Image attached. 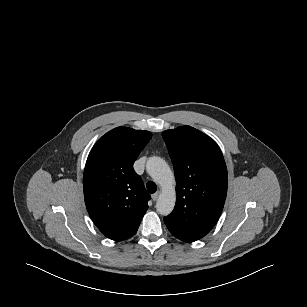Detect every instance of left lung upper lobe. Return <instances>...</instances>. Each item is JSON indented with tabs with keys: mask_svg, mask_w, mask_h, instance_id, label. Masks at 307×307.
<instances>
[{
	"mask_svg": "<svg viewBox=\"0 0 307 307\" xmlns=\"http://www.w3.org/2000/svg\"><path fill=\"white\" fill-rule=\"evenodd\" d=\"M176 178V205L164 217L181 232L200 239L216 224L227 194V168L214 140L190 126L166 130Z\"/></svg>",
	"mask_w": 307,
	"mask_h": 307,
	"instance_id": "obj_1",
	"label": "left lung upper lobe"
}]
</instances>
